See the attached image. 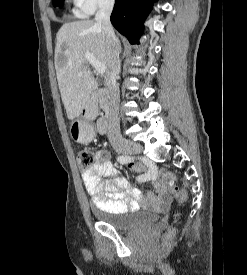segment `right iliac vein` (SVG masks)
Listing matches in <instances>:
<instances>
[{
	"mask_svg": "<svg viewBox=\"0 0 247 275\" xmlns=\"http://www.w3.org/2000/svg\"><path fill=\"white\" fill-rule=\"evenodd\" d=\"M116 150L117 152L123 154H137L142 151V148L138 143L124 140L120 143Z\"/></svg>",
	"mask_w": 247,
	"mask_h": 275,
	"instance_id": "63e3f726",
	"label": "right iliac vein"
}]
</instances>
